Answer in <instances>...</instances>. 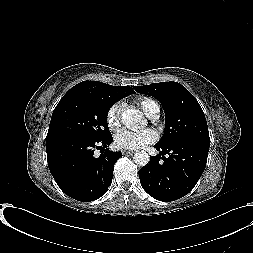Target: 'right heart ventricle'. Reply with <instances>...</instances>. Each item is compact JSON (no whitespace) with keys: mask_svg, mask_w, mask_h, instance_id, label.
Listing matches in <instances>:
<instances>
[{"mask_svg":"<svg viewBox=\"0 0 253 253\" xmlns=\"http://www.w3.org/2000/svg\"><path fill=\"white\" fill-rule=\"evenodd\" d=\"M138 106L140 109L147 115L151 116V114L154 112V110L159 107L158 104L150 99V98H144L139 101H137Z\"/></svg>","mask_w":253,"mask_h":253,"instance_id":"1","label":"right heart ventricle"}]
</instances>
